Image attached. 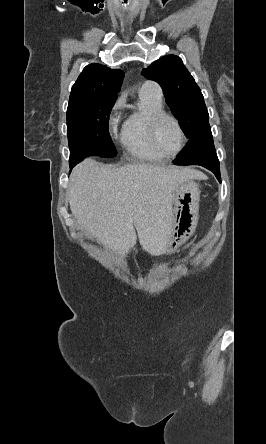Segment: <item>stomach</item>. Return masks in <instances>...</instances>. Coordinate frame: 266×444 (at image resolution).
<instances>
[{
	"label": "stomach",
	"instance_id": "obj_1",
	"mask_svg": "<svg viewBox=\"0 0 266 444\" xmlns=\"http://www.w3.org/2000/svg\"><path fill=\"white\" fill-rule=\"evenodd\" d=\"M200 190L193 180L179 185L173 192V216L170 227V241L167 251L173 248V243L179 244L195 229L198 220Z\"/></svg>",
	"mask_w": 266,
	"mask_h": 444
}]
</instances>
